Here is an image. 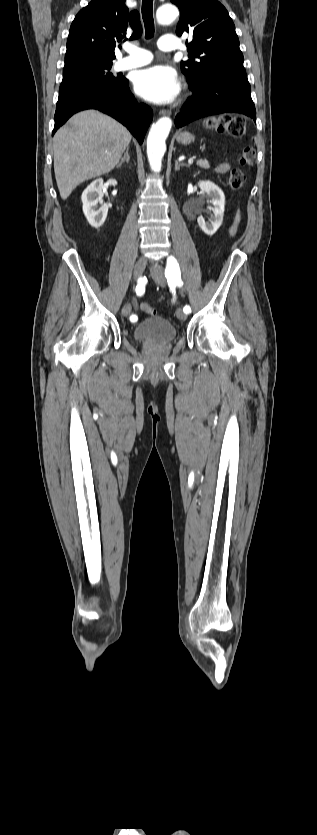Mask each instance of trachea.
I'll return each instance as SVG.
<instances>
[{
  "label": "trachea",
  "instance_id": "trachea-1",
  "mask_svg": "<svg viewBox=\"0 0 317 835\" xmlns=\"http://www.w3.org/2000/svg\"><path fill=\"white\" fill-rule=\"evenodd\" d=\"M142 18L145 25V38L154 36L153 0H142Z\"/></svg>",
  "mask_w": 317,
  "mask_h": 835
}]
</instances>
